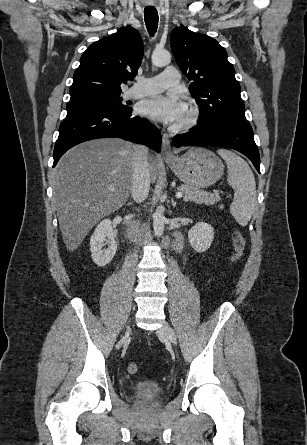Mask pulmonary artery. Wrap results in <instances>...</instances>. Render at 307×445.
Instances as JSON below:
<instances>
[{
  "mask_svg": "<svg viewBox=\"0 0 307 445\" xmlns=\"http://www.w3.org/2000/svg\"><path fill=\"white\" fill-rule=\"evenodd\" d=\"M137 80V89L134 86H130L128 90V96L131 98L156 94L172 84H178L180 78L179 71L175 67L170 66L162 70L147 73L141 77H137Z\"/></svg>",
  "mask_w": 307,
  "mask_h": 445,
  "instance_id": "obj_1",
  "label": "pulmonary artery"
}]
</instances>
